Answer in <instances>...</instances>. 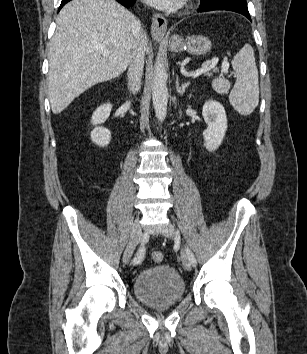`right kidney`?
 Here are the masks:
<instances>
[{
  "mask_svg": "<svg viewBox=\"0 0 307 354\" xmlns=\"http://www.w3.org/2000/svg\"><path fill=\"white\" fill-rule=\"evenodd\" d=\"M112 104L105 103L99 106L93 113L91 123L95 128L91 132V140L100 147H105L110 143L111 132L107 128L98 126L104 123L110 116Z\"/></svg>",
  "mask_w": 307,
  "mask_h": 354,
  "instance_id": "obj_1",
  "label": "right kidney"
}]
</instances>
